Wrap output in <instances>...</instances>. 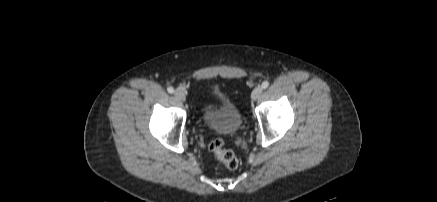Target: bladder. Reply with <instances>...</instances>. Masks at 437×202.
Returning a JSON list of instances; mask_svg holds the SVG:
<instances>
[{"label":"bladder","instance_id":"bladder-1","mask_svg":"<svg viewBox=\"0 0 437 202\" xmlns=\"http://www.w3.org/2000/svg\"><path fill=\"white\" fill-rule=\"evenodd\" d=\"M212 97L201 110L202 125L218 134H236L243 124L241 111L219 90H214Z\"/></svg>","mask_w":437,"mask_h":202}]
</instances>
